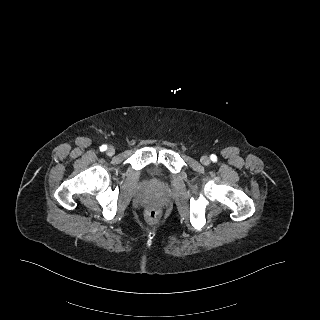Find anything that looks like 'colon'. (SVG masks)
<instances>
[{
    "instance_id": "obj_1",
    "label": "colon",
    "mask_w": 320,
    "mask_h": 320,
    "mask_svg": "<svg viewBox=\"0 0 320 320\" xmlns=\"http://www.w3.org/2000/svg\"><path fill=\"white\" fill-rule=\"evenodd\" d=\"M145 216L150 223H154L159 219L160 211L156 208H149L146 210Z\"/></svg>"
}]
</instances>
